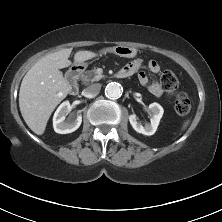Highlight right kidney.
<instances>
[{"mask_svg":"<svg viewBox=\"0 0 222 222\" xmlns=\"http://www.w3.org/2000/svg\"><path fill=\"white\" fill-rule=\"evenodd\" d=\"M71 109L69 101L63 102L56 110L53 116V128L56 133L67 134L74 132L79 128L82 122V116L78 115L76 119L65 121L66 115Z\"/></svg>","mask_w":222,"mask_h":222,"instance_id":"1","label":"right kidney"}]
</instances>
